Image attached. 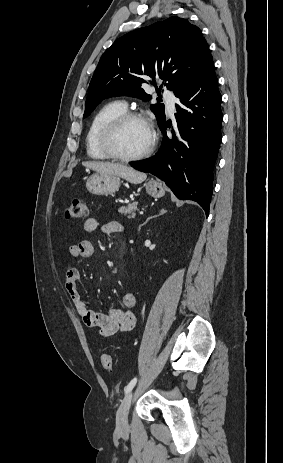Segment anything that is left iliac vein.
<instances>
[{
  "label": "left iliac vein",
  "mask_w": 283,
  "mask_h": 463,
  "mask_svg": "<svg viewBox=\"0 0 283 463\" xmlns=\"http://www.w3.org/2000/svg\"><path fill=\"white\" fill-rule=\"evenodd\" d=\"M132 392H128L121 402V405L117 411V428L119 430H125L128 427V414L130 405L132 402Z\"/></svg>",
  "instance_id": "4c4485c4"
}]
</instances>
